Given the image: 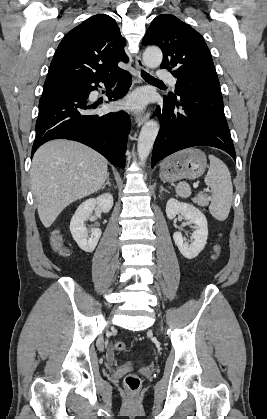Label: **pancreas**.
I'll return each instance as SVG.
<instances>
[{
	"label": "pancreas",
	"instance_id": "obj_1",
	"mask_svg": "<svg viewBox=\"0 0 267 419\" xmlns=\"http://www.w3.org/2000/svg\"><path fill=\"white\" fill-rule=\"evenodd\" d=\"M194 202L198 203L199 206H202V203L199 202L198 200H194Z\"/></svg>",
	"mask_w": 267,
	"mask_h": 419
}]
</instances>
